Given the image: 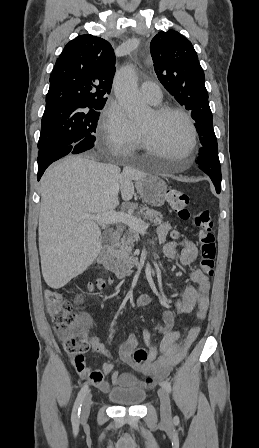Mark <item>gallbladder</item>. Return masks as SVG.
<instances>
[{"mask_svg": "<svg viewBox=\"0 0 259 448\" xmlns=\"http://www.w3.org/2000/svg\"><path fill=\"white\" fill-rule=\"evenodd\" d=\"M101 242L104 244V246H107V244H111L112 242V230H105L101 236Z\"/></svg>", "mask_w": 259, "mask_h": 448, "instance_id": "obj_1", "label": "gallbladder"}]
</instances>
